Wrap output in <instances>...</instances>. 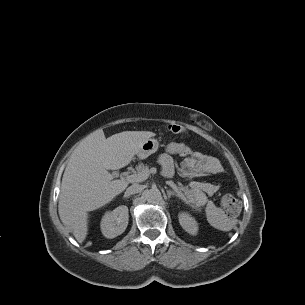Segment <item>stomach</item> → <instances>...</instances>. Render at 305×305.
Wrapping results in <instances>:
<instances>
[{"label":"stomach","instance_id":"stomach-1","mask_svg":"<svg viewBox=\"0 0 305 305\" xmlns=\"http://www.w3.org/2000/svg\"><path fill=\"white\" fill-rule=\"evenodd\" d=\"M159 148V142L155 138L146 139L140 146L137 157L140 160L146 159L151 154L155 153Z\"/></svg>","mask_w":305,"mask_h":305}]
</instances>
